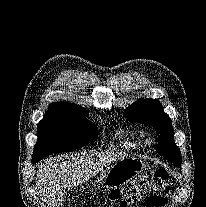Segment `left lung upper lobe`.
<instances>
[{
	"mask_svg": "<svg viewBox=\"0 0 206 207\" xmlns=\"http://www.w3.org/2000/svg\"><path fill=\"white\" fill-rule=\"evenodd\" d=\"M124 117L130 122H140L154 127L160 132L156 150L165 158L180 167L182 157L180 149L175 145L174 131L170 117L156 99H140L125 110Z\"/></svg>",
	"mask_w": 206,
	"mask_h": 207,
	"instance_id": "left-lung-upper-lobe-1",
	"label": "left lung upper lobe"
}]
</instances>
